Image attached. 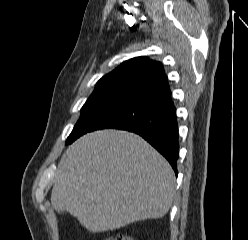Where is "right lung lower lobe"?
<instances>
[{"mask_svg": "<svg viewBox=\"0 0 248 240\" xmlns=\"http://www.w3.org/2000/svg\"><path fill=\"white\" fill-rule=\"evenodd\" d=\"M171 92L145 98L103 118L88 132L121 129L136 133L149 142L171 164L177 175L178 125Z\"/></svg>", "mask_w": 248, "mask_h": 240, "instance_id": "1", "label": "right lung lower lobe"}]
</instances>
